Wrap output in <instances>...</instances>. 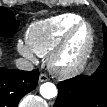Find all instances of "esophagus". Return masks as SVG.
I'll return each instance as SVG.
<instances>
[{
  "mask_svg": "<svg viewBox=\"0 0 107 107\" xmlns=\"http://www.w3.org/2000/svg\"><path fill=\"white\" fill-rule=\"evenodd\" d=\"M49 80V77L46 74L41 73L39 76V82H46Z\"/></svg>",
  "mask_w": 107,
  "mask_h": 107,
  "instance_id": "obj_1",
  "label": "esophagus"
}]
</instances>
